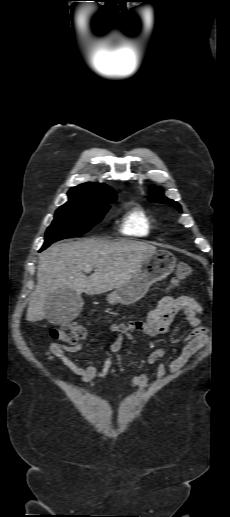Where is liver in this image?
<instances>
[{
	"label": "liver",
	"instance_id": "1",
	"mask_svg": "<svg viewBox=\"0 0 230 517\" xmlns=\"http://www.w3.org/2000/svg\"><path fill=\"white\" fill-rule=\"evenodd\" d=\"M155 251V246L142 242L95 239L50 246L39 257L37 286L30 297L27 321L46 318V299L59 289L96 295L122 286ZM87 266L94 269L89 277L83 273Z\"/></svg>",
	"mask_w": 230,
	"mask_h": 517
}]
</instances>
